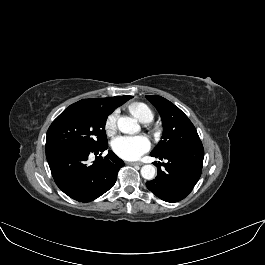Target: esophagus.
<instances>
[{
    "instance_id": "obj_1",
    "label": "esophagus",
    "mask_w": 265,
    "mask_h": 265,
    "mask_svg": "<svg viewBox=\"0 0 265 265\" xmlns=\"http://www.w3.org/2000/svg\"><path fill=\"white\" fill-rule=\"evenodd\" d=\"M130 165H138V166H141V165H143V163H141V162H131V163H129Z\"/></svg>"
}]
</instances>
